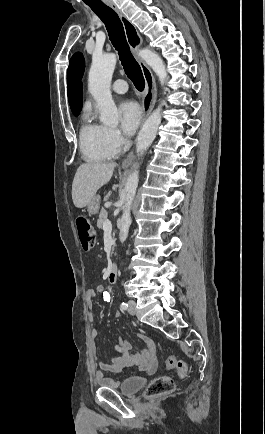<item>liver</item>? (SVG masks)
Returning a JSON list of instances; mask_svg holds the SVG:
<instances>
[{
    "label": "liver",
    "mask_w": 265,
    "mask_h": 434,
    "mask_svg": "<svg viewBox=\"0 0 265 434\" xmlns=\"http://www.w3.org/2000/svg\"><path fill=\"white\" fill-rule=\"evenodd\" d=\"M115 162L101 164V162H89L79 166L72 184V200L76 208H85L95 196L97 190L110 182Z\"/></svg>",
    "instance_id": "1"
}]
</instances>
